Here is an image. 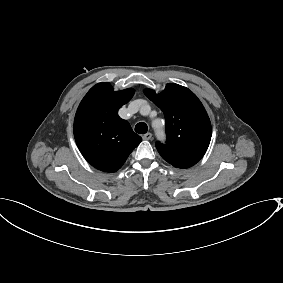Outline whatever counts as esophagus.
I'll return each mask as SVG.
<instances>
[{
    "instance_id": "obj_1",
    "label": "esophagus",
    "mask_w": 283,
    "mask_h": 283,
    "mask_svg": "<svg viewBox=\"0 0 283 283\" xmlns=\"http://www.w3.org/2000/svg\"><path fill=\"white\" fill-rule=\"evenodd\" d=\"M151 137H152V134H151V133H146V134H144V135L142 136V139H143V140H149V139H151Z\"/></svg>"
}]
</instances>
